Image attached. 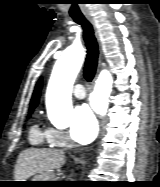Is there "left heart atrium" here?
<instances>
[{
	"mask_svg": "<svg viewBox=\"0 0 160 187\" xmlns=\"http://www.w3.org/2000/svg\"><path fill=\"white\" fill-rule=\"evenodd\" d=\"M98 131L96 118L86 104L78 106L73 114L70 133L72 138L81 144L91 142Z\"/></svg>",
	"mask_w": 160,
	"mask_h": 187,
	"instance_id": "39dd6f15",
	"label": "left heart atrium"
}]
</instances>
